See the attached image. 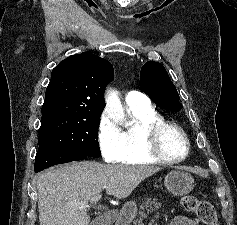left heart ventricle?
I'll return each instance as SVG.
<instances>
[{
    "label": "left heart ventricle",
    "mask_w": 237,
    "mask_h": 225,
    "mask_svg": "<svg viewBox=\"0 0 237 225\" xmlns=\"http://www.w3.org/2000/svg\"><path fill=\"white\" fill-rule=\"evenodd\" d=\"M162 146L164 152L171 157H180L185 153V143L175 131H168L163 135Z\"/></svg>",
    "instance_id": "left-heart-ventricle-1"
}]
</instances>
